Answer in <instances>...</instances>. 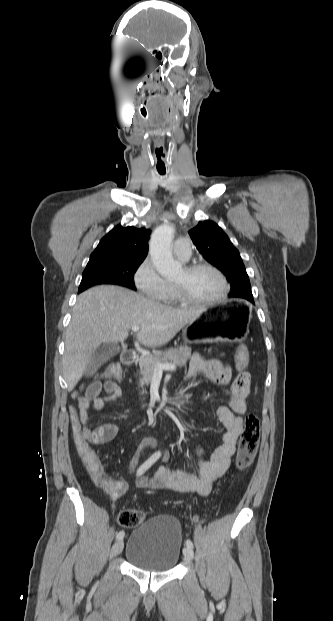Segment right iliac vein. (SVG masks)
<instances>
[{
    "label": "right iliac vein",
    "mask_w": 333,
    "mask_h": 621,
    "mask_svg": "<svg viewBox=\"0 0 333 621\" xmlns=\"http://www.w3.org/2000/svg\"><path fill=\"white\" fill-rule=\"evenodd\" d=\"M123 547H124L123 540H118V541H117V542H116V543L112 546L110 556H111V557H115V556L119 555V554L122 552Z\"/></svg>",
    "instance_id": "right-iliac-vein-1"
}]
</instances>
